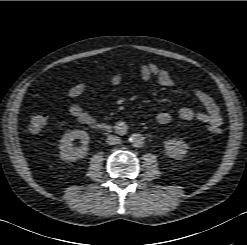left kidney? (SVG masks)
<instances>
[{
    "mask_svg": "<svg viewBox=\"0 0 247 245\" xmlns=\"http://www.w3.org/2000/svg\"><path fill=\"white\" fill-rule=\"evenodd\" d=\"M166 154L174 159H182L189 148L183 140L171 139L164 142Z\"/></svg>",
    "mask_w": 247,
    "mask_h": 245,
    "instance_id": "left-kidney-1",
    "label": "left kidney"
}]
</instances>
